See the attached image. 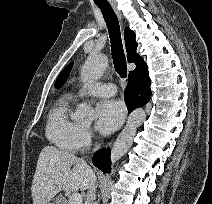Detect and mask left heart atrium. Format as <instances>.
Here are the masks:
<instances>
[{"label":"left heart atrium","mask_w":212,"mask_h":204,"mask_svg":"<svg viewBox=\"0 0 212 204\" xmlns=\"http://www.w3.org/2000/svg\"><path fill=\"white\" fill-rule=\"evenodd\" d=\"M125 107L117 100H103L97 105L96 128L103 134L114 132L123 122Z\"/></svg>","instance_id":"left-heart-atrium-1"}]
</instances>
